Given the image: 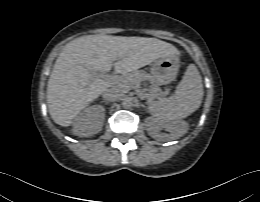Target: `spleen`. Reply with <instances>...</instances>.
<instances>
[{
	"mask_svg": "<svg viewBox=\"0 0 260 202\" xmlns=\"http://www.w3.org/2000/svg\"><path fill=\"white\" fill-rule=\"evenodd\" d=\"M201 75L194 64H190L177 87L175 95L169 98H159L149 103V112L157 120L174 121L186 118L196 111L203 99ZM185 133L181 128L175 136L178 138Z\"/></svg>",
	"mask_w": 260,
	"mask_h": 202,
	"instance_id": "spleen-1",
	"label": "spleen"
}]
</instances>
